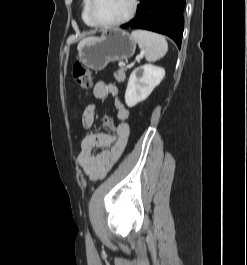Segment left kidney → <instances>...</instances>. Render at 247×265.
<instances>
[{
	"label": "left kidney",
	"instance_id": "obj_1",
	"mask_svg": "<svg viewBox=\"0 0 247 265\" xmlns=\"http://www.w3.org/2000/svg\"><path fill=\"white\" fill-rule=\"evenodd\" d=\"M165 76L161 67L145 64L136 68L130 75L125 92V102L128 107H134L144 101L160 84Z\"/></svg>",
	"mask_w": 247,
	"mask_h": 265
}]
</instances>
